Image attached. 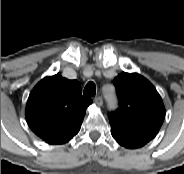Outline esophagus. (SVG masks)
Wrapping results in <instances>:
<instances>
[{"label": "esophagus", "mask_w": 184, "mask_h": 174, "mask_svg": "<svg viewBox=\"0 0 184 174\" xmlns=\"http://www.w3.org/2000/svg\"><path fill=\"white\" fill-rule=\"evenodd\" d=\"M93 101H94V103H95L96 105H98V106H102V104H103V99H102V97H100V96L95 97V98L93 99Z\"/></svg>", "instance_id": "esophagus-1"}]
</instances>
